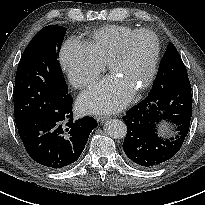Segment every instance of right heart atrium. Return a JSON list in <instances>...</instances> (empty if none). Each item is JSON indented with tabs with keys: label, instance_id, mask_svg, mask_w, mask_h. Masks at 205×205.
<instances>
[{
	"label": "right heart atrium",
	"instance_id": "d8ad5b80",
	"mask_svg": "<svg viewBox=\"0 0 205 205\" xmlns=\"http://www.w3.org/2000/svg\"><path fill=\"white\" fill-rule=\"evenodd\" d=\"M59 61L69 82L78 89L91 86L104 70L87 44L73 37L63 44Z\"/></svg>",
	"mask_w": 205,
	"mask_h": 205
}]
</instances>
